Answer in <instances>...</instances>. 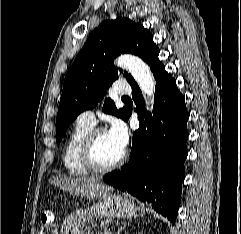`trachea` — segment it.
<instances>
[{
  "label": "trachea",
  "mask_w": 241,
  "mask_h": 234,
  "mask_svg": "<svg viewBox=\"0 0 241 234\" xmlns=\"http://www.w3.org/2000/svg\"><path fill=\"white\" fill-rule=\"evenodd\" d=\"M122 99L123 100H127V99H129V97L128 96H123Z\"/></svg>",
  "instance_id": "trachea-1"
}]
</instances>
